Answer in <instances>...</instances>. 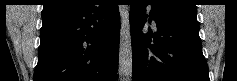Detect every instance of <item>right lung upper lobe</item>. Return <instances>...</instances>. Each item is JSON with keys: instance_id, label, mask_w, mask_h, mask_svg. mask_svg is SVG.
I'll list each match as a JSON object with an SVG mask.
<instances>
[{"instance_id": "obj_1", "label": "right lung upper lobe", "mask_w": 237, "mask_h": 81, "mask_svg": "<svg viewBox=\"0 0 237 81\" xmlns=\"http://www.w3.org/2000/svg\"><path fill=\"white\" fill-rule=\"evenodd\" d=\"M42 18L50 15L72 11L81 7L86 0H45Z\"/></svg>"}]
</instances>
